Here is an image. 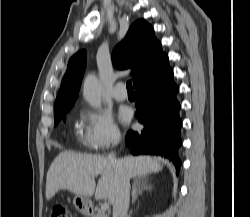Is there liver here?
I'll use <instances>...</instances> for the list:
<instances>
[{"mask_svg": "<svg viewBox=\"0 0 250 217\" xmlns=\"http://www.w3.org/2000/svg\"><path fill=\"white\" fill-rule=\"evenodd\" d=\"M129 178L143 177L162 170L160 159L152 156H125L117 160ZM101 175L97 186L95 177ZM59 190L95 199H108L113 204L116 171L108 158L100 155L62 152L52 162L46 178V199Z\"/></svg>", "mask_w": 250, "mask_h": 217, "instance_id": "1", "label": "liver"}]
</instances>
